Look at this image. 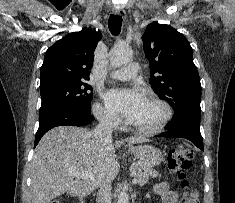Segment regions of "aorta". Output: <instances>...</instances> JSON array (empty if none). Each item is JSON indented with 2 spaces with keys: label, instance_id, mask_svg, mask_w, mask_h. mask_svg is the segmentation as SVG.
<instances>
[{
  "label": "aorta",
  "instance_id": "aorta-1",
  "mask_svg": "<svg viewBox=\"0 0 235 203\" xmlns=\"http://www.w3.org/2000/svg\"><path fill=\"white\" fill-rule=\"evenodd\" d=\"M133 58V51L125 44L117 43L109 52V60L112 67L117 68L128 64ZM117 203H129L128 194L122 191L118 196Z\"/></svg>",
  "mask_w": 235,
  "mask_h": 203
}]
</instances>
